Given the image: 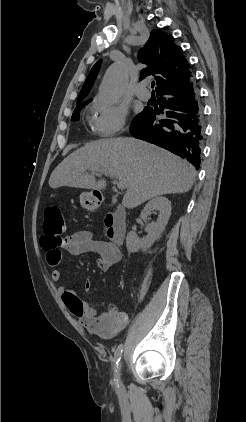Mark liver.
I'll return each mask as SVG.
<instances>
[{"label": "liver", "instance_id": "6515ba94", "mask_svg": "<svg viewBox=\"0 0 246 422\" xmlns=\"http://www.w3.org/2000/svg\"><path fill=\"white\" fill-rule=\"evenodd\" d=\"M92 169L125 184L122 203L133 209L147 200L188 192L195 168L186 160L150 143L133 138H111L85 144L66 157L52 172L49 186L103 190L106 181H96Z\"/></svg>", "mask_w": 246, "mask_h": 422}]
</instances>
